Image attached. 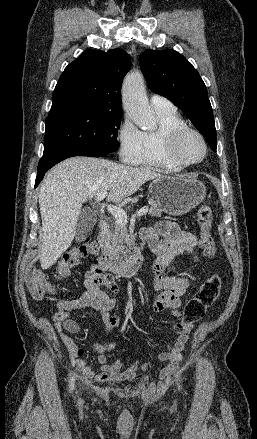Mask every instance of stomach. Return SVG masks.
Listing matches in <instances>:
<instances>
[{
  "mask_svg": "<svg viewBox=\"0 0 257 439\" xmlns=\"http://www.w3.org/2000/svg\"><path fill=\"white\" fill-rule=\"evenodd\" d=\"M149 192L166 213L184 215L204 200L206 187L190 176H162L151 182Z\"/></svg>",
  "mask_w": 257,
  "mask_h": 439,
  "instance_id": "1",
  "label": "stomach"
}]
</instances>
